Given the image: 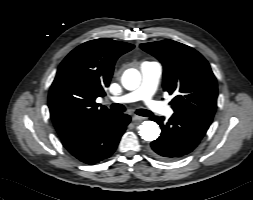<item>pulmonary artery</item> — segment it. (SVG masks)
<instances>
[{
	"mask_svg": "<svg viewBox=\"0 0 253 200\" xmlns=\"http://www.w3.org/2000/svg\"><path fill=\"white\" fill-rule=\"evenodd\" d=\"M142 82L134 91L112 99L115 103H131L142 100L152 111L165 116H171L173 110L153 99L160 77L162 75V66L158 62L144 61L141 64Z\"/></svg>",
	"mask_w": 253,
	"mask_h": 200,
	"instance_id": "1",
	"label": "pulmonary artery"
}]
</instances>
